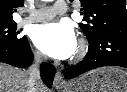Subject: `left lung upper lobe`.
Returning <instances> with one entry per match:
<instances>
[{"label": "left lung upper lobe", "mask_w": 127, "mask_h": 92, "mask_svg": "<svg viewBox=\"0 0 127 92\" xmlns=\"http://www.w3.org/2000/svg\"><path fill=\"white\" fill-rule=\"evenodd\" d=\"M84 14L80 28L88 41L102 32L127 33V10L125 0H80Z\"/></svg>", "instance_id": "obj_1"}]
</instances>
